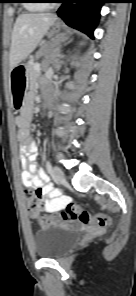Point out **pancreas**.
<instances>
[{"instance_id":"obj_1","label":"pancreas","mask_w":136,"mask_h":296,"mask_svg":"<svg viewBox=\"0 0 136 296\" xmlns=\"http://www.w3.org/2000/svg\"><path fill=\"white\" fill-rule=\"evenodd\" d=\"M43 54V51L40 50L37 55L40 56ZM38 64L34 62L33 59H31L28 63V66H27V74L29 77H38L39 73L35 70V67L37 66Z\"/></svg>"}]
</instances>
